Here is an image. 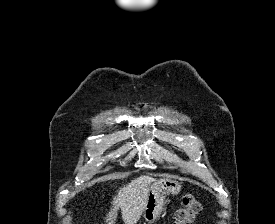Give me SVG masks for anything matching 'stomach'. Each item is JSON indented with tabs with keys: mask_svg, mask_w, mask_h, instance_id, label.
Segmentation results:
<instances>
[{
	"mask_svg": "<svg viewBox=\"0 0 275 224\" xmlns=\"http://www.w3.org/2000/svg\"><path fill=\"white\" fill-rule=\"evenodd\" d=\"M180 190V183L175 179L162 178L155 181L150 187L147 203L143 210L145 222L152 224L164 209L166 195H176Z\"/></svg>",
	"mask_w": 275,
	"mask_h": 224,
	"instance_id": "1",
	"label": "stomach"
}]
</instances>
